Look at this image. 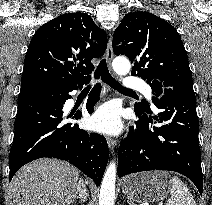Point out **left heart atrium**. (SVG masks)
Segmentation results:
<instances>
[{"instance_id":"obj_1","label":"left heart atrium","mask_w":212,"mask_h":205,"mask_svg":"<svg viewBox=\"0 0 212 205\" xmlns=\"http://www.w3.org/2000/svg\"><path fill=\"white\" fill-rule=\"evenodd\" d=\"M90 127L98 132L114 134L122 126L120 110L113 103H106L99 106L89 121Z\"/></svg>"}]
</instances>
